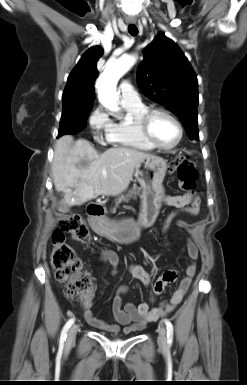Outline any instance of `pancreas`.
Listing matches in <instances>:
<instances>
[{
  "mask_svg": "<svg viewBox=\"0 0 247 385\" xmlns=\"http://www.w3.org/2000/svg\"><path fill=\"white\" fill-rule=\"evenodd\" d=\"M138 194V192L135 190V189H132L128 192L127 195H121L120 197H118V199L116 200V204L118 205L120 202L122 201H125V202H128L129 199L132 197V196H136ZM116 211V209L114 208L113 209V213Z\"/></svg>",
  "mask_w": 247,
  "mask_h": 385,
  "instance_id": "cf45deb5",
  "label": "pancreas"
}]
</instances>
